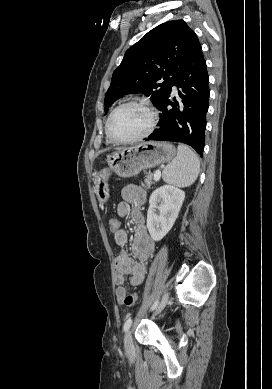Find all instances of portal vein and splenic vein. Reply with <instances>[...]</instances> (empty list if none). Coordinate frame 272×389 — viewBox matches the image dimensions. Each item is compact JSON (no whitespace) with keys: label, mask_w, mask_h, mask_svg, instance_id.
Segmentation results:
<instances>
[{"label":"portal vein and splenic vein","mask_w":272,"mask_h":389,"mask_svg":"<svg viewBox=\"0 0 272 389\" xmlns=\"http://www.w3.org/2000/svg\"><path fill=\"white\" fill-rule=\"evenodd\" d=\"M161 177V172L159 170H157L154 174V180L155 181H158Z\"/></svg>","instance_id":"1"}]
</instances>
